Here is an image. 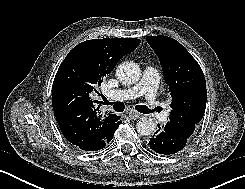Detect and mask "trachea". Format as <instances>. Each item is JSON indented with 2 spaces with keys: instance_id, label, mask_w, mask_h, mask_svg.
I'll return each instance as SVG.
<instances>
[{
  "instance_id": "trachea-1",
  "label": "trachea",
  "mask_w": 245,
  "mask_h": 189,
  "mask_svg": "<svg viewBox=\"0 0 245 189\" xmlns=\"http://www.w3.org/2000/svg\"><path fill=\"white\" fill-rule=\"evenodd\" d=\"M103 100H104V102H103L104 105H111V106H113V109L115 111H117V112H123L124 109H125V105H124L123 102H114V103H111L105 97L103 98ZM135 109L137 111H139L140 113H143V114H150V113H153V111H159V108H155L154 110H150L145 105H137V106H135Z\"/></svg>"
}]
</instances>
